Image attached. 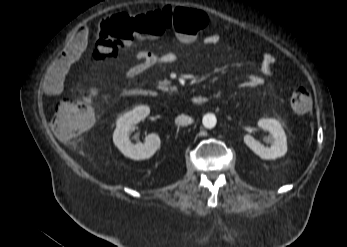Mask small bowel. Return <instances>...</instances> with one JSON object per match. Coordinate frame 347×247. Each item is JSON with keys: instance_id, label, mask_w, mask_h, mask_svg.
<instances>
[{"instance_id": "1", "label": "small bowel", "mask_w": 347, "mask_h": 247, "mask_svg": "<svg viewBox=\"0 0 347 247\" xmlns=\"http://www.w3.org/2000/svg\"><path fill=\"white\" fill-rule=\"evenodd\" d=\"M87 32L81 29L75 33L70 39L67 49L56 60H54L47 71V84L51 93H56L60 89V81L63 72L68 68L74 55L80 54L87 44ZM220 41L218 34H209L204 38V42L208 45H216ZM137 62L124 71L126 78H135L156 63L170 64L177 60V54L174 52H166L159 56L149 50H140L135 53ZM275 57L266 52L260 51V73H254L247 76L244 85L247 87H258L265 82V78L273 74L275 68Z\"/></svg>"}]
</instances>
